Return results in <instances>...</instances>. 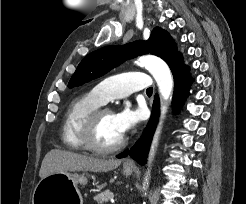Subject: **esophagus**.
<instances>
[{"label":"esophagus","mask_w":246,"mask_h":204,"mask_svg":"<svg viewBox=\"0 0 246 204\" xmlns=\"http://www.w3.org/2000/svg\"><path fill=\"white\" fill-rule=\"evenodd\" d=\"M124 165L126 166V167H134V163H133V161L132 160H127L125 163H124Z\"/></svg>","instance_id":"34e87169"}]
</instances>
